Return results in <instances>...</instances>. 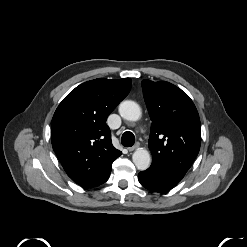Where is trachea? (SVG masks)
I'll list each match as a JSON object with an SVG mask.
<instances>
[{"label":"trachea","instance_id":"3493384b","mask_svg":"<svg viewBox=\"0 0 247 247\" xmlns=\"http://www.w3.org/2000/svg\"><path fill=\"white\" fill-rule=\"evenodd\" d=\"M121 143L125 147H131L135 143V136L132 132L126 131L121 137Z\"/></svg>","mask_w":247,"mask_h":247}]
</instances>
